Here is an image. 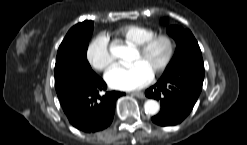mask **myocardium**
<instances>
[{
	"instance_id": "obj_1",
	"label": "myocardium",
	"mask_w": 247,
	"mask_h": 145,
	"mask_svg": "<svg viewBox=\"0 0 247 145\" xmlns=\"http://www.w3.org/2000/svg\"><path fill=\"white\" fill-rule=\"evenodd\" d=\"M157 41H163L167 46V52L165 58L161 62V64L152 72L153 76H159L162 74L170 65L173 60L175 54V41L174 39L168 35L163 33H155L154 35L148 37L143 42L135 46V49L140 53H146Z\"/></svg>"
}]
</instances>
